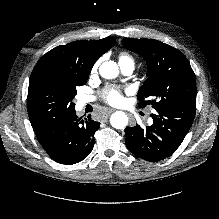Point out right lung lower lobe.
<instances>
[{
	"instance_id": "obj_1",
	"label": "right lung lower lobe",
	"mask_w": 219,
	"mask_h": 219,
	"mask_svg": "<svg viewBox=\"0 0 219 219\" xmlns=\"http://www.w3.org/2000/svg\"><path fill=\"white\" fill-rule=\"evenodd\" d=\"M38 141L55 161L71 165L85 159L94 147V133L100 123L91 115L82 119L75 109L64 112L49 120L38 122L30 118Z\"/></svg>"
}]
</instances>
